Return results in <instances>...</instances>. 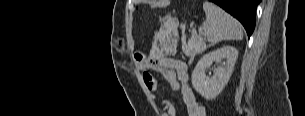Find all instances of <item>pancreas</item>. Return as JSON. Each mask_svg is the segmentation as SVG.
I'll list each match as a JSON object with an SVG mask.
<instances>
[{
	"label": "pancreas",
	"mask_w": 305,
	"mask_h": 116,
	"mask_svg": "<svg viewBox=\"0 0 305 116\" xmlns=\"http://www.w3.org/2000/svg\"><path fill=\"white\" fill-rule=\"evenodd\" d=\"M207 46L202 34H193L188 40V44H183L182 50L186 56L194 58L195 55L200 54L206 50Z\"/></svg>",
	"instance_id": "obj_1"
}]
</instances>
